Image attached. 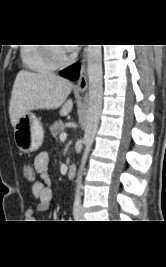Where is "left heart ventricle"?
<instances>
[{"instance_id": "b2bd125f", "label": "left heart ventricle", "mask_w": 166, "mask_h": 267, "mask_svg": "<svg viewBox=\"0 0 166 267\" xmlns=\"http://www.w3.org/2000/svg\"><path fill=\"white\" fill-rule=\"evenodd\" d=\"M58 50H59V52H60L61 54L66 53V50H65L64 48H62V47H58Z\"/></svg>"}]
</instances>
